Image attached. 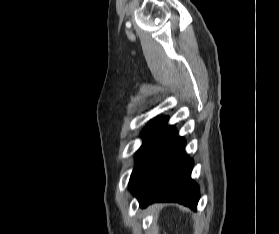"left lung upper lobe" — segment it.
Returning <instances> with one entry per match:
<instances>
[{
  "mask_svg": "<svg viewBox=\"0 0 279 234\" xmlns=\"http://www.w3.org/2000/svg\"><path fill=\"white\" fill-rule=\"evenodd\" d=\"M149 126H150V125L146 126V128L143 130V132H142V135H143V136L145 135V133H146V131L148 130Z\"/></svg>",
  "mask_w": 279,
  "mask_h": 234,
  "instance_id": "obj_1",
  "label": "left lung upper lobe"
}]
</instances>
